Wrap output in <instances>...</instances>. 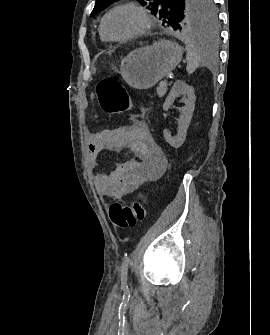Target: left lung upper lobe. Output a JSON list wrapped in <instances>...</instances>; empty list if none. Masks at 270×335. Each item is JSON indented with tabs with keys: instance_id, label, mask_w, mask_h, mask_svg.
Wrapping results in <instances>:
<instances>
[{
	"instance_id": "1",
	"label": "left lung upper lobe",
	"mask_w": 270,
	"mask_h": 335,
	"mask_svg": "<svg viewBox=\"0 0 270 335\" xmlns=\"http://www.w3.org/2000/svg\"><path fill=\"white\" fill-rule=\"evenodd\" d=\"M116 0H96L91 16L98 14ZM147 5L151 13L162 20L163 25L174 30L191 32L216 29L217 9L214 0H138Z\"/></svg>"
}]
</instances>
